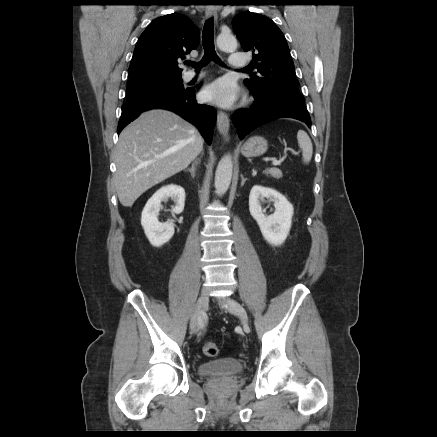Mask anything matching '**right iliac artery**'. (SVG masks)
Wrapping results in <instances>:
<instances>
[{"label":"right iliac artery","instance_id":"1","mask_svg":"<svg viewBox=\"0 0 437 437\" xmlns=\"http://www.w3.org/2000/svg\"><path fill=\"white\" fill-rule=\"evenodd\" d=\"M201 327H203V323L201 322Z\"/></svg>","mask_w":437,"mask_h":437}]
</instances>
